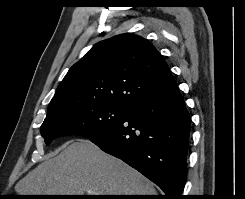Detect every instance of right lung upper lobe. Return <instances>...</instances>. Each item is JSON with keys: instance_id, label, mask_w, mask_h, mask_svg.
<instances>
[{"instance_id": "right-lung-upper-lobe-1", "label": "right lung upper lobe", "mask_w": 245, "mask_h": 199, "mask_svg": "<svg viewBox=\"0 0 245 199\" xmlns=\"http://www.w3.org/2000/svg\"><path fill=\"white\" fill-rule=\"evenodd\" d=\"M176 87L168 65L148 40L121 34L97 43L70 68L47 115L86 103L130 108L165 96Z\"/></svg>"}]
</instances>
